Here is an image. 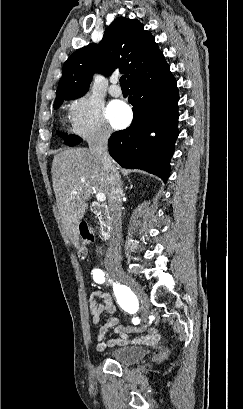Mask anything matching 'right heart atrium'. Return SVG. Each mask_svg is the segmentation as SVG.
<instances>
[{"label":"right heart atrium","instance_id":"obj_1","mask_svg":"<svg viewBox=\"0 0 243 409\" xmlns=\"http://www.w3.org/2000/svg\"><path fill=\"white\" fill-rule=\"evenodd\" d=\"M69 122L71 132L86 140H107L111 135L101 104L87 93L71 100Z\"/></svg>","mask_w":243,"mask_h":409}]
</instances>
